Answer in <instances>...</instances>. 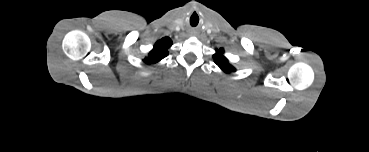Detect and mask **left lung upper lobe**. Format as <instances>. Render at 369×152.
Listing matches in <instances>:
<instances>
[{
  "mask_svg": "<svg viewBox=\"0 0 369 152\" xmlns=\"http://www.w3.org/2000/svg\"><path fill=\"white\" fill-rule=\"evenodd\" d=\"M223 49L216 50V53L213 55L215 63L225 72L230 73L235 71V68L231 66L228 62V59L223 56Z\"/></svg>",
  "mask_w": 369,
  "mask_h": 152,
  "instance_id": "left-lung-upper-lobe-1",
  "label": "left lung upper lobe"
}]
</instances>
